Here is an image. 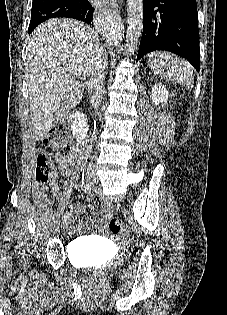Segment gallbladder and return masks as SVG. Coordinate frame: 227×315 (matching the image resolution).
Listing matches in <instances>:
<instances>
[{"label":"gallbladder","mask_w":227,"mask_h":315,"mask_svg":"<svg viewBox=\"0 0 227 315\" xmlns=\"http://www.w3.org/2000/svg\"><path fill=\"white\" fill-rule=\"evenodd\" d=\"M62 117H64V116H60V117L55 116V119H56L57 121H61V120H62Z\"/></svg>","instance_id":"bac80fb5"}]
</instances>
